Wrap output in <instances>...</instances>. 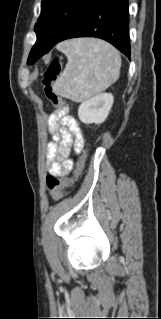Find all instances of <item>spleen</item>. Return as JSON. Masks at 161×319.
<instances>
[{"mask_svg":"<svg viewBox=\"0 0 161 319\" xmlns=\"http://www.w3.org/2000/svg\"><path fill=\"white\" fill-rule=\"evenodd\" d=\"M57 49L68 59L53 91L74 102H83L106 90L119 78L121 57L109 43L91 38L62 42Z\"/></svg>","mask_w":161,"mask_h":319,"instance_id":"1","label":"spleen"}]
</instances>
